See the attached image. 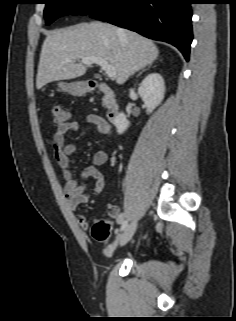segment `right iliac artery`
Returning <instances> with one entry per match:
<instances>
[{"mask_svg": "<svg viewBox=\"0 0 236 321\" xmlns=\"http://www.w3.org/2000/svg\"><path fill=\"white\" fill-rule=\"evenodd\" d=\"M127 226V220L122 221L120 230L123 231Z\"/></svg>", "mask_w": 236, "mask_h": 321, "instance_id": "82829eb1", "label": "right iliac artery"}]
</instances>
